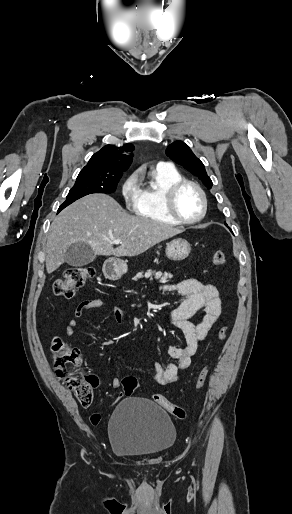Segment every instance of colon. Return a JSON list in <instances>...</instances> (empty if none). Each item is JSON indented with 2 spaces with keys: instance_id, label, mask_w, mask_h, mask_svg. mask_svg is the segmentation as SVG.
Listing matches in <instances>:
<instances>
[{
  "instance_id": "colon-1",
  "label": "colon",
  "mask_w": 292,
  "mask_h": 514,
  "mask_svg": "<svg viewBox=\"0 0 292 514\" xmlns=\"http://www.w3.org/2000/svg\"><path fill=\"white\" fill-rule=\"evenodd\" d=\"M212 264L222 266L226 261V253L222 248H217L212 254ZM92 267H72L67 269L63 276L57 279L53 285V292L57 298L69 299L75 291L84 287L94 275ZM228 334V326L221 325L216 332V340L221 342ZM51 353L53 356L54 374L64 380L67 388L73 393L77 402L87 407L94 400V388L98 385L96 376L80 371L84 362V356L80 350L68 346L61 338H53L51 341ZM209 365H205L199 372L196 380V388L204 387L209 375ZM138 388V381L135 376H127L122 380V389L127 397L132 396ZM153 400L169 414L183 418L185 411L170 402L161 394H153ZM99 414H92V423H98Z\"/></svg>"
}]
</instances>
